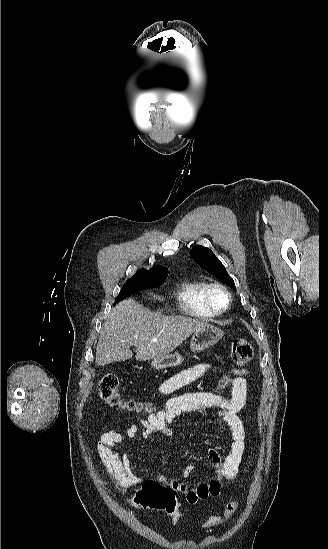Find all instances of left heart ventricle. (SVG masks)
Listing matches in <instances>:
<instances>
[{"instance_id":"obj_1","label":"left heart ventricle","mask_w":328,"mask_h":549,"mask_svg":"<svg viewBox=\"0 0 328 549\" xmlns=\"http://www.w3.org/2000/svg\"><path fill=\"white\" fill-rule=\"evenodd\" d=\"M217 307L223 308L227 303V296L222 292H217L214 296Z\"/></svg>"}]
</instances>
